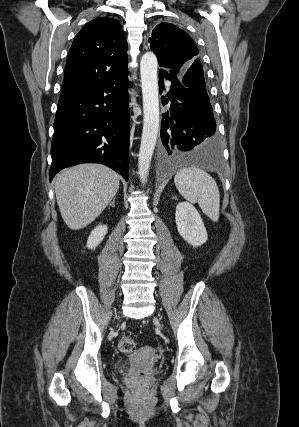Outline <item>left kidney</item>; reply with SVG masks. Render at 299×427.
<instances>
[{
	"label": "left kidney",
	"instance_id": "obj_1",
	"mask_svg": "<svg viewBox=\"0 0 299 427\" xmlns=\"http://www.w3.org/2000/svg\"><path fill=\"white\" fill-rule=\"evenodd\" d=\"M175 220L179 234L188 244L198 247L207 241L208 235L201 216L189 202L177 205Z\"/></svg>",
	"mask_w": 299,
	"mask_h": 427
}]
</instances>
